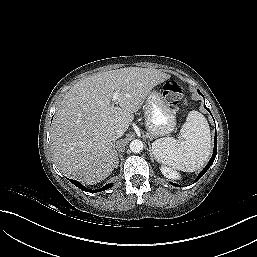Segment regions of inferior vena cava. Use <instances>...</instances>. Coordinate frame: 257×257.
Masks as SVG:
<instances>
[{
	"label": "inferior vena cava",
	"instance_id": "602c4592",
	"mask_svg": "<svg viewBox=\"0 0 257 257\" xmlns=\"http://www.w3.org/2000/svg\"><path fill=\"white\" fill-rule=\"evenodd\" d=\"M123 134H124V130L116 129L115 132L113 133V137H112L113 141H115L118 138H120Z\"/></svg>",
	"mask_w": 257,
	"mask_h": 257
}]
</instances>
